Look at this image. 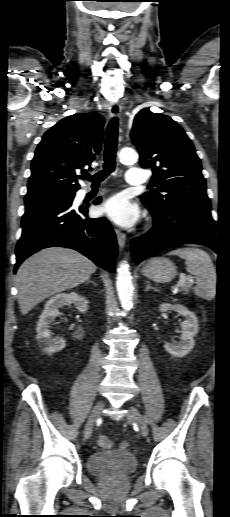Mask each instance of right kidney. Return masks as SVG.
<instances>
[{
  "label": "right kidney",
  "instance_id": "ca27d5eb",
  "mask_svg": "<svg viewBox=\"0 0 230 517\" xmlns=\"http://www.w3.org/2000/svg\"><path fill=\"white\" fill-rule=\"evenodd\" d=\"M66 304H74L80 313L88 310L87 299L75 292L57 294L46 302L36 328L38 344L46 354L58 352L66 346L62 337H52L49 330L50 323L59 315L58 308Z\"/></svg>",
  "mask_w": 230,
  "mask_h": 517
}]
</instances>
